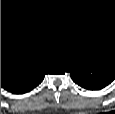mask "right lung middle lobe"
<instances>
[{
	"mask_svg": "<svg viewBox=\"0 0 115 114\" xmlns=\"http://www.w3.org/2000/svg\"><path fill=\"white\" fill-rule=\"evenodd\" d=\"M13 56H16L15 52L11 48L6 47L4 44L2 45L1 42V57H13Z\"/></svg>",
	"mask_w": 115,
	"mask_h": 114,
	"instance_id": "right-lung-middle-lobe-1",
	"label": "right lung middle lobe"
}]
</instances>
